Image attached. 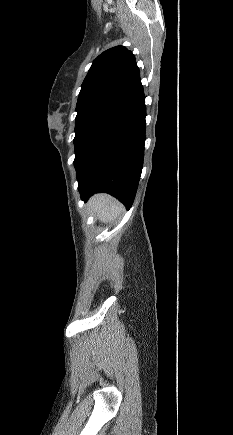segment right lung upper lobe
Masks as SVG:
<instances>
[{
  "instance_id": "right-lung-upper-lobe-1",
  "label": "right lung upper lobe",
  "mask_w": 233,
  "mask_h": 435,
  "mask_svg": "<svg viewBox=\"0 0 233 435\" xmlns=\"http://www.w3.org/2000/svg\"><path fill=\"white\" fill-rule=\"evenodd\" d=\"M144 98L134 55L116 46L93 61L81 86L76 117L97 112L125 115Z\"/></svg>"
}]
</instances>
